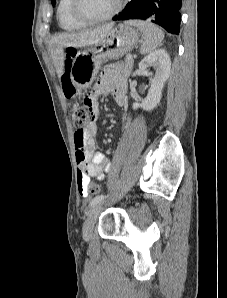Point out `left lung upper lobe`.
Wrapping results in <instances>:
<instances>
[{
    "label": "left lung upper lobe",
    "mask_w": 227,
    "mask_h": 298,
    "mask_svg": "<svg viewBox=\"0 0 227 298\" xmlns=\"http://www.w3.org/2000/svg\"><path fill=\"white\" fill-rule=\"evenodd\" d=\"M51 2H52V5H54V4H55V2H56V0H51Z\"/></svg>",
    "instance_id": "left-lung-upper-lobe-1"
}]
</instances>
